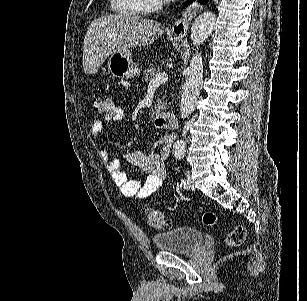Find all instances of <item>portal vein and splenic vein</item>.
<instances>
[{"label": "portal vein and splenic vein", "mask_w": 307, "mask_h": 301, "mask_svg": "<svg viewBox=\"0 0 307 301\" xmlns=\"http://www.w3.org/2000/svg\"><path fill=\"white\" fill-rule=\"evenodd\" d=\"M166 80H168L167 72H157L156 76L150 80L148 86H158V84H162Z\"/></svg>", "instance_id": "obj_1"}]
</instances>
